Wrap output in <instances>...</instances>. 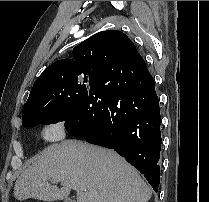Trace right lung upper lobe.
<instances>
[{
	"instance_id": "obj_1",
	"label": "right lung upper lobe",
	"mask_w": 209,
	"mask_h": 202,
	"mask_svg": "<svg viewBox=\"0 0 209 202\" xmlns=\"http://www.w3.org/2000/svg\"><path fill=\"white\" fill-rule=\"evenodd\" d=\"M74 59H61L49 65L34 83L23 112L30 109L33 95L54 77L85 74L99 78L110 71L126 72L131 60L141 58L133 42L118 30L99 32L73 49ZM28 124L22 118V126Z\"/></svg>"
}]
</instances>
